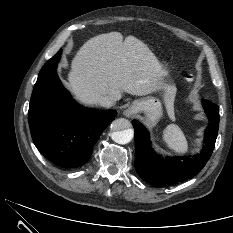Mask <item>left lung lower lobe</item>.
Masks as SVG:
<instances>
[{
	"label": "left lung lower lobe",
	"mask_w": 233,
	"mask_h": 233,
	"mask_svg": "<svg viewBox=\"0 0 233 233\" xmlns=\"http://www.w3.org/2000/svg\"><path fill=\"white\" fill-rule=\"evenodd\" d=\"M203 108L210 124L205 132L203 151L194 157H160L150 145L147 129L136 120L132 121L135 129V169L144 181L157 187L170 186L202 170L214 150L219 126V107L203 100Z\"/></svg>",
	"instance_id": "1"
}]
</instances>
